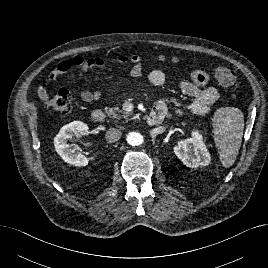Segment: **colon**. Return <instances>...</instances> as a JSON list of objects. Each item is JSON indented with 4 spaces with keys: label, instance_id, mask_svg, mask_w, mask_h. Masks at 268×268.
<instances>
[{
    "label": "colon",
    "instance_id": "5ec220e1",
    "mask_svg": "<svg viewBox=\"0 0 268 268\" xmlns=\"http://www.w3.org/2000/svg\"><path fill=\"white\" fill-rule=\"evenodd\" d=\"M214 76L218 83L225 88H231L236 84V75L229 68L218 66L214 70ZM71 103L72 95L67 89H60L53 95L47 93L42 98L44 108L51 111L67 112L71 108Z\"/></svg>",
    "mask_w": 268,
    "mask_h": 268
}]
</instances>
